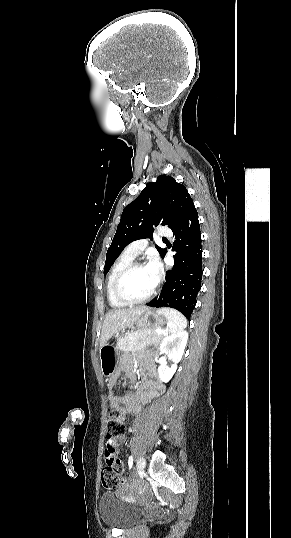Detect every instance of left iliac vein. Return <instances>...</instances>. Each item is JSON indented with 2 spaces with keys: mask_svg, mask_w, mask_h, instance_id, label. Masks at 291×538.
Masks as SVG:
<instances>
[{
  "mask_svg": "<svg viewBox=\"0 0 291 538\" xmlns=\"http://www.w3.org/2000/svg\"><path fill=\"white\" fill-rule=\"evenodd\" d=\"M146 466V461L144 459V457H139L138 461H137V472L139 473H142L144 471V468Z\"/></svg>",
  "mask_w": 291,
  "mask_h": 538,
  "instance_id": "4c4485c4",
  "label": "left iliac vein"
}]
</instances>
